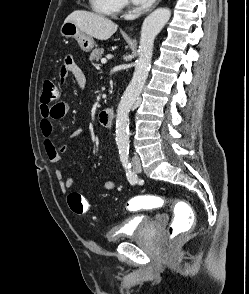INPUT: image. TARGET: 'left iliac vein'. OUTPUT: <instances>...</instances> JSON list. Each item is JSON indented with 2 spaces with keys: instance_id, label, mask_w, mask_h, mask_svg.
<instances>
[{
  "instance_id": "obj_1",
  "label": "left iliac vein",
  "mask_w": 249,
  "mask_h": 294,
  "mask_svg": "<svg viewBox=\"0 0 249 294\" xmlns=\"http://www.w3.org/2000/svg\"><path fill=\"white\" fill-rule=\"evenodd\" d=\"M132 165H133V169L137 173H140L142 171L141 162H140V159H139V157L137 155H134L132 157Z\"/></svg>"
}]
</instances>
